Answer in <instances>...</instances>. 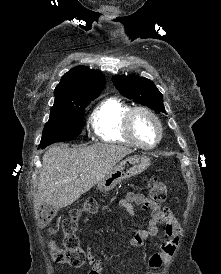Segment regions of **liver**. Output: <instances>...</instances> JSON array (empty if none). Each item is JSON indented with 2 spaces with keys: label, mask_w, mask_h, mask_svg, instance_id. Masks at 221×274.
<instances>
[{
  "label": "liver",
  "mask_w": 221,
  "mask_h": 274,
  "mask_svg": "<svg viewBox=\"0 0 221 274\" xmlns=\"http://www.w3.org/2000/svg\"><path fill=\"white\" fill-rule=\"evenodd\" d=\"M130 153L132 150L127 147L100 143L80 148H49L42 158L35 208L47 204L58 210L71 205ZM74 175L78 177L72 179Z\"/></svg>",
  "instance_id": "1"
}]
</instances>
